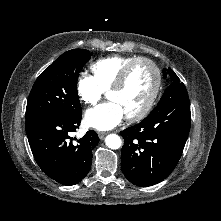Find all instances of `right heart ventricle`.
I'll use <instances>...</instances> for the list:
<instances>
[{
	"instance_id": "right-heart-ventricle-1",
	"label": "right heart ventricle",
	"mask_w": 221,
	"mask_h": 221,
	"mask_svg": "<svg viewBox=\"0 0 221 221\" xmlns=\"http://www.w3.org/2000/svg\"><path fill=\"white\" fill-rule=\"evenodd\" d=\"M136 57L113 55L101 58L91 64L92 78L102 92H107L121 70Z\"/></svg>"
}]
</instances>
